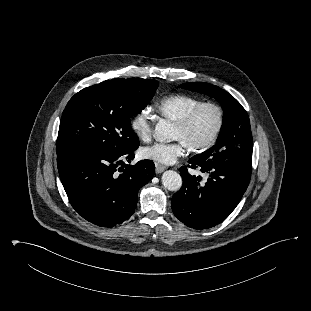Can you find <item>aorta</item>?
I'll return each mask as SVG.
<instances>
[{"label": "aorta", "instance_id": "1", "mask_svg": "<svg viewBox=\"0 0 311 311\" xmlns=\"http://www.w3.org/2000/svg\"><path fill=\"white\" fill-rule=\"evenodd\" d=\"M173 126L166 120H160L154 129L156 141L168 143L173 140ZM162 184L169 191H178L182 186V178L179 173L173 170L165 171L162 174Z\"/></svg>", "mask_w": 311, "mask_h": 311}]
</instances>
